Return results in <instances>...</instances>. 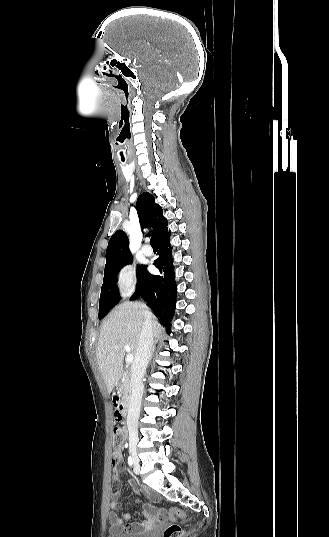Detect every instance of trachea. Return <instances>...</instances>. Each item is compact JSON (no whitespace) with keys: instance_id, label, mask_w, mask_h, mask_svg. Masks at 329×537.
<instances>
[{"instance_id":"3493384b","label":"trachea","mask_w":329,"mask_h":537,"mask_svg":"<svg viewBox=\"0 0 329 537\" xmlns=\"http://www.w3.org/2000/svg\"><path fill=\"white\" fill-rule=\"evenodd\" d=\"M150 245L152 247H157V242H156V238L155 237H152L151 240H150Z\"/></svg>"}]
</instances>
